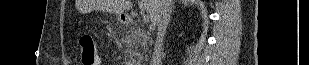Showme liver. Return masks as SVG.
Instances as JSON below:
<instances>
[{"mask_svg": "<svg viewBox=\"0 0 309 65\" xmlns=\"http://www.w3.org/2000/svg\"><path fill=\"white\" fill-rule=\"evenodd\" d=\"M168 1L172 4V0ZM166 2L167 0H138V5L141 11H146L151 22L156 24ZM78 7L81 12L102 10L113 12L120 16L124 12L129 11L133 4L131 0H81L78 2Z\"/></svg>", "mask_w": 309, "mask_h": 65, "instance_id": "6515ba94", "label": "liver"}]
</instances>
